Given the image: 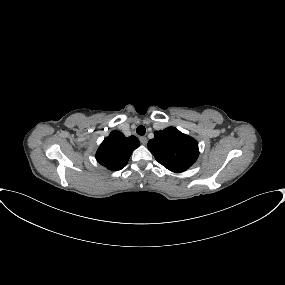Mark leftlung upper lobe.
Listing matches in <instances>:
<instances>
[{"mask_svg":"<svg viewBox=\"0 0 285 285\" xmlns=\"http://www.w3.org/2000/svg\"><path fill=\"white\" fill-rule=\"evenodd\" d=\"M148 149L157 162L176 173L187 170L198 158V143L174 127L155 131Z\"/></svg>","mask_w":285,"mask_h":285,"instance_id":"obj_1","label":"left lung upper lobe"}]
</instances>
